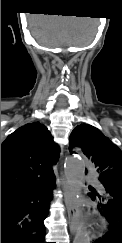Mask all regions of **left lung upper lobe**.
Returning a JSON list of instances; mask_svg holds the SVG:
<instances>
[{
  "instance_id": "1",
  "label": "left lung upper lobe",
  "mask_w": 122,
  "mask_h": 243,
  "mask_svg": "<svg viewBox=\"0 0 122 243\" xmlns=\"http://www.w3.org/2000/svg\"><path fill=\"white\" fill-rule=\"evenodd\" d=\"M69 145L71 153L82 151L99 174L122 172V151L99 129L88 124L77 126L69 137ZM113 213L122 218V205Z\"/></svg>"
}]
</instances>
